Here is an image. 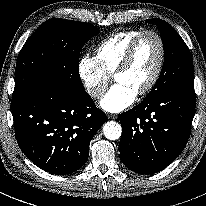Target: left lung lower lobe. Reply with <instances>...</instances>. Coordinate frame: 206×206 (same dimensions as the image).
<instances>
[{
    "mask_svg": "<svg viewBox=\"0 0 206 206\" xmlns=\"http://www.w3.org/2000/svg\"><path fill=\"white\" fill-rule=\"evenodd\" d=\"M195 91L182 89L142 101L120 115V158L139 174L157 173L183 151L195 113Z\"/></svg>",
    "mask_w": 206,
    "mask_h": 206,
    "instance_id": "obj_1",
    "label": "left lung lower lobe"
}]
</instances>
